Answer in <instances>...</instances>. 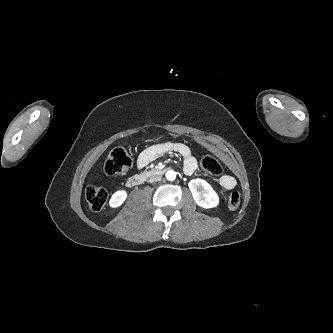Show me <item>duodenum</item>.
Masks as SVG:
<instances>
[{
	"label": "duodenum",
	"mask_w": 333,
	"mask_h": 333,
	"mask_svg": "<svg viewBox=\"0 0 333 333\" xmlns=\"http://www.w3.org/2000/svg\"><path fill=\"white\" fill-rule=\"evenodd\" d=\"M164 173L165 169L162 168L151 169L147 172L129 177L126 184L128 187H136L143 184L148 178L162 176Z\"/></svg>",
	"instance_id": "duodenum-1"
}]
</instances>
